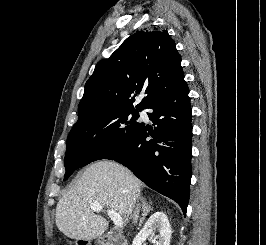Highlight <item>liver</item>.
<instances>
[{
	"label": "liver",
	"mask_w": 266,
	"mask_h": 245,
	"mask_svg": "<svg viewBox=\"0 0 266 245\" xmlns=\"http://www.w3.org/2000/svg\"><path fill=\"white\" fill-rule=\"evenodd\" d=\"M143 183L114 161H97L69 187L56 207L57 229L76 241H92L105 233L109 223L95 215L90 205L114 209L123 219L131 215L132 203L142 191Z\"/></svg>",
	"instance_id": "6515ba94"
}]
</instances>
